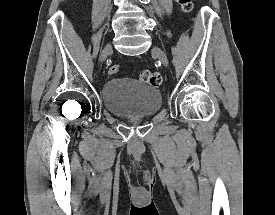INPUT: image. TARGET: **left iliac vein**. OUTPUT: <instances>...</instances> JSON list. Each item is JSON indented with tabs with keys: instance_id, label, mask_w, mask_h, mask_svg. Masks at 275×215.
<instances>
[{
	"instance_id": "obj_1",
	"label": "left iliac vein",
	"mask_w": 275,
	"mask_h": 215,
	"mask_svg": "<svg viewBox=\"0 0 275 215\" xmlns=\"http://www.w3.org/2000/svg\"><path fill=\"white\" fill-rule=\"evenodd\" d=\"M152 52L158 57L164 66L168 65L167 56L159 47H153Z\"/></svg>"
}]
</instances>
